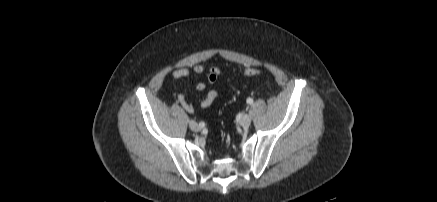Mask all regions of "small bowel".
Instances as JSON below:
<instances>
[{"mask_svg":"<svg viewBox=\"0 0 437 202\" xmlns=\"http://www.w3.org/2000/svg\"><path fill=\"white\" fill-rule=\"evenodd\" d=\"M204 72V67L202 65L194 66L192 69L189 68H179L175 69L172 72V76L175 80L179 81L181 79L189 77L191 74L201 75ZM220 74V69L218 67L211 68L207 73V80L210 83H214L217 81ZM196 88L198 91H204L206 89V84L200 80L198 81ZM219 98V92L216 90H210L205 98H203L199 102V107L207 108L209 107L215 100ZM178 103L182 106V108L188 113H193L195 111V106L192 103H189L183 94H180L177 98Z\"/></svg>","mask_w":437,"mask_h":202,"instance_id":"c3829d8e","label":"small bowel"}]
</instances>
